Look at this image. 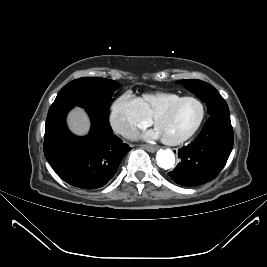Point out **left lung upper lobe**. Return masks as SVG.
I'll use <instances>...</instances> for the list:
<instances>
[{"mask_svg":"<svg viewBox=\"0 0 267 267\" xmlns=\"http://www.w3.org/2000/svg\"><path fill=\"white\" fill-rule=\"evenodd\" d=\"M177 82L201 99L206 104L210 115L229 114L226 102L210 84L197 79L179 80Z\"/></svg>","mask_w":267,"mask_h":267,"instance_id":"left-lung-upper-lobe-1","label":"left lung upper lobe"}]
</instances>
